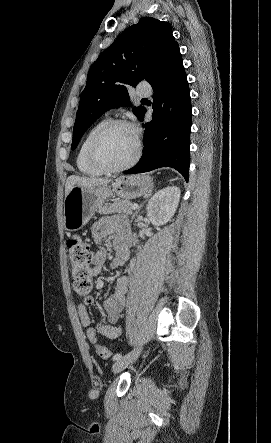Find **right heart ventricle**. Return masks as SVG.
<instances>
[{
    "mask_svg": "<svg viewBox=\"0 0 271 443\" xmlns=\"http://www.w3.org/2000/svg\"><path fill=\"white\" fill-rule=\"evenodd\" d=\"M109 121L108 118H103L99 121H97L94 125L90 127V129L86 132L84 135L78 150L76 152L75 157V163L77 169L84 175L90 176V177H97L103 174V172L96 168L89 160L88 158V148L89 145L93 139V137L96 135L98 130Z\"/></svg>",
    "mask_w": 271,
    "mask_h": 443,
    "instance_id": "obj_1",
    "label": "right heart ventricle"
}]
</instances>
